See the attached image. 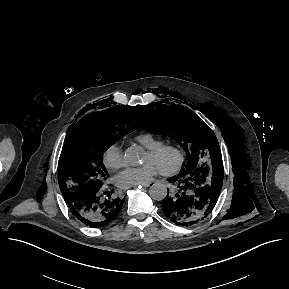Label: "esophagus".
I'll list each match as a JSON object with an SVG mask.
<instances>
[{"label": "esophagus", "mask_w": 289, "mask_h": 289, "mask_svg": "<svg viewBox=\"0 0 289 289\" xmlns=\"http://www.w3.org/2000/svg\"><path fill=\"white\" fill-rule=\"evenodd\" d=\"M150 186V183L146 184V185H142L143 188H147Z\"/></svg>", "instance_id": "34e87169"}]
</instances>
